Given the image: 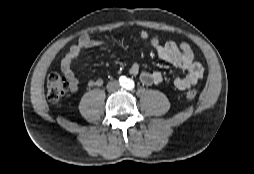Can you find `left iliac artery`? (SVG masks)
I'll return each mask as SVG.
<instances>
[{
	"label": "left iliac artery",
	"mask_w": 254,
	"mask_h": 174,
	"mask_svg": "<svg viewBox=\"0 0 254 174\" xmlns=\"http://www.w3.org/2000/svg\"><path fill=\"white\" fill-rule=\"evenodd\" d=\"M126 88L131 90L134 88V82L132 80H127Z\"/></svg>",
	"instance_id": "left-iliac-artery-1"
}]
</instances>
